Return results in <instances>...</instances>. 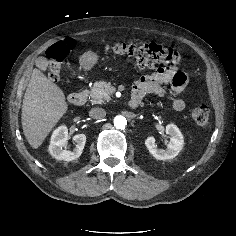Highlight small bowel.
<instances>
[{"instance_id": "small-bowel-1", "label": "small bowel", "mask_w": 236, "mask_h": 236, "mask_svg": "<svg viewBox=\"0 0 236 236\" xmlns=\"http://www.w3.org/2000/svg\"><path fill=\"white\" fill-rule=\"evenodd\" d=\"M165 84H170L174 92L180 93L188 84V76L173 66L159 68L151 75L141 77L134 84L133 95L140 98L149 93L163 96L165 91L162 86ZM172 107L181 111L185 108V102L180 98H174Z\"/></svg>"}]
</instances>
